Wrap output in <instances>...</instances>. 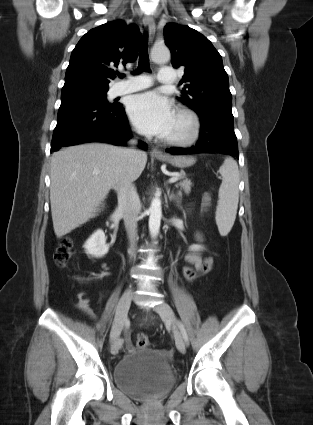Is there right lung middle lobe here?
I'll return each mask as SVG.
<instances>
[{
	"label": "right lung middle lobe",
	"mask_w": 313,
	"mask_h": 425,
	"mask_svg": "<svg viewBox=\"0 0 313 425\" xmlns=\"http://www.w3.org/2000/svg\"><path fill=\"white\" fill-rule=\"evenodd\" d=\"M108 88H104V89H85V90H79L78 92L86 94V95H90L102 102L108 103L107 102V93Z\"/></svg>",
	"instance_id": "dd1d6c3e"
}]
</instances>
